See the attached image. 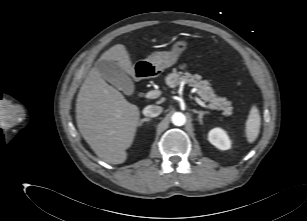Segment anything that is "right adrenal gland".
<instances>
[{
  "mask_svg": "<svg viewBox=\"0 0 307 221\" xmlns=\"http://www.w3.org/2000/svg\"><path fill=\"white\" fill-rule=\"evenodd\" d=\"M150 121H151L150 118H143L142 120H140L139 125L141 126L143 122H150Z\"/></svg>",
  "mask_w": 307,
  "mask_h": 221,
  "instance_id": "2a0ac1e0",
  "label": "right adrenal gland"
}]
</instances>
